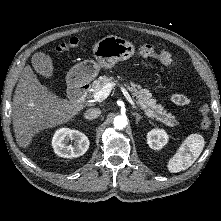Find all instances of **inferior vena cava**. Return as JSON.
Instances as JSON below:
<instances>
[{"mask_svg":"<svg viewBox=\"0 0 221 221\" xmlns=\"http://www.w3.org/2000/svg\"><path fill=\"white\" fill-rule=\"evenodd\" d=\"M101 110L98 108H90L84 113V117L88 120L96 119L100 116Z\"/></svg>","mask_w":221,"mask_h":221,"instance_id":"602c4592","label":"inferior vena cava"}]
</instances>
